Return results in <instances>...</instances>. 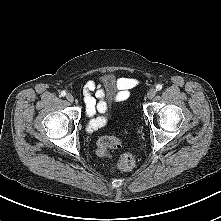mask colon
I'll use <instances>...</instances> for the list:
<instances>
[{"instance_id": "obj_1", "label": "colon", "mask_w": 221, "mask_h": 221, "mask_svg": "<svg viewBox=\"0 0 221 221\" xmlns=\"http://www.w3.org/2000/svg\"><path fill=\"white\" fill-rule=\"evenodd\" d=\"M122 141L123 140L120 137L114 135H108L102 137L98 141L97 154L100 157H106L109 153V150L120 147ZM135 165H136L135 156L131 152H124L119 157L114 170L119 172H127L132 170L135 167Z\"/></svg>"}]
</instances>
